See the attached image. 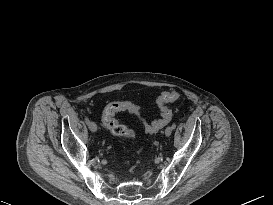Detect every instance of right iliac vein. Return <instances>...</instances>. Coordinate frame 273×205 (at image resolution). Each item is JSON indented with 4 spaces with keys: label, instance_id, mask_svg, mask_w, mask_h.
<instances>
[{
    "label": "right iliac vein",
    "instance_id": "obj_1",
    "mask_svg": "<svg viewBox=\"0 0 273 205\" xmlns=\"http://www.w3.org/2000/svg\"><path fill=\"white\" fill-rule=\"evenodd\" d=\"M88 128H89V130L91 132H96L97 131V125L94 122H92V121H90L88 123Z\"/></svg>",
    "mask_w": 273,
    "mask_h": 205
}]
</instances>
